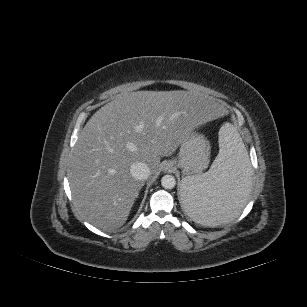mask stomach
I'll return each instance as SVG.
<instances>
[{
  "label": "stomach",
  "instance_id": "0dacf381",
  "mask_svg": "<svg viewBox=\"0 0 307 307\" xmlns=\"http://www.w3.org/2000/svg\"><path fill=\"white\" fill-rule=\"evenodd\" d=\"M210 145L197 131H191L181 142L177 165L183 173H201L209 163Z\"/></svg>",
  "mask_w": 307,
  "mask_h": 307
}]
</instances>
